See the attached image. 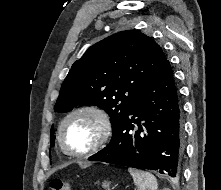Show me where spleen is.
Instances as JSON below:
<instances>
[{
  "label": "spleen",
  "instance_id": "1",
  "mask_svg": "<svg viewBox=\"0 0 221 190\" xmlns=\"http://www.w3.org/2000/svg\"><path fill=\"white\" fill-rule=\"evenodd\" d=\"M128 171L138 190H157V179L153 174L133 168H129Z\"/></svg>",
  "mask_w": 221,
  "mask_h": 190
}]
</instances>
